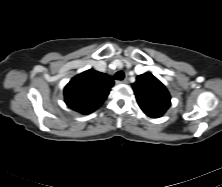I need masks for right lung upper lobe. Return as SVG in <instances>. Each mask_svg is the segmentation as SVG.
<instances>
[{
  "label": "right lung upper lobe",
  "mask_w": 222,
  "mask_h": 187,
  "mask_svg": "<svg viewBox=\"0 0 222 187\" xmlns=\"http://www.w3.org/2000/svg\"><path fill=\"white\" fill-rule=\"evenodd\" d=\"M113 85L111 76L89 69L65 86V102L74 111L90 114L105 101Z\"/></svg>",
  "instance_id": "1"
}]
</instances>
